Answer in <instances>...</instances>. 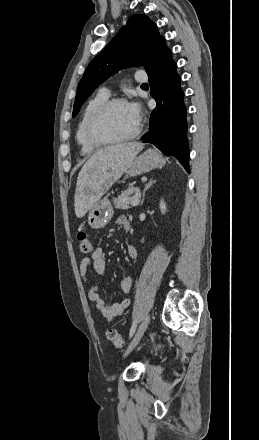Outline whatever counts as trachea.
Returning a JSON list of instances; mask_svg holds the SVG:
<instances>
[{"label": "trachea", "instance_id": "trachea-1", "mask_svg": "<svg viewBox=\"0 0 259 440\" xmlns=\"http://www.w3.org/2000/svg\"><path fill=\"white\" fill-rule=\"evenodd\" d=\"M142 86H147V84H142Z\"/></svg>", "mask_w": 259, "mask_h": 440}]
</instances>
